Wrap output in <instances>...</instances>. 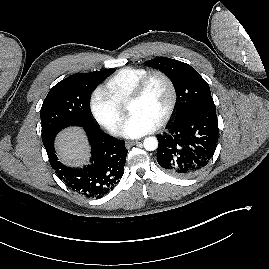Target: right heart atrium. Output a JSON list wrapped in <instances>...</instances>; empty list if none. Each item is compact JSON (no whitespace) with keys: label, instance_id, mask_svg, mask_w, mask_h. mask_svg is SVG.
<instances>
[{"label":"right heart atrium","instance_id":"right-heart-atrium-1","mask_svg":"<svg viewBox=\"0 0 269 269\" xmlns=\"http://www.w3.org/2000/svg\"><path fill=\"white\" fill-rule=\"evenodd\" d=\"M90 111L95 120L113 135H120L124 122V112L105 91L97 87L89 99Z\"/></svg>","mask_w":269,"mask_h":269}]
</instances>
